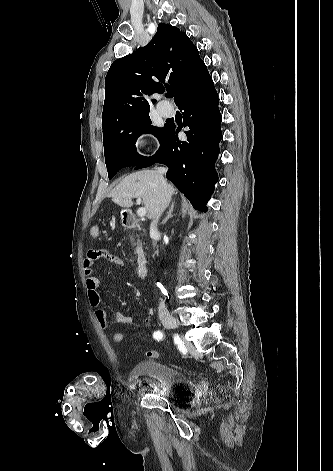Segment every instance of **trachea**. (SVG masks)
I'll return each instance as SVG.
<instances>
[{"instance_id": "obj_1", "label": "trachea", "mask_w": 333, "mask_h": 471, "mask_svg": "<svg viewBox=\"0 0 333 471\" xmlns=\"http://www.w3.org/2000/svg\"><path fill=\"white\" fill-rule=\"evenodd\" d=\"M173 96H174V91L173 90L168 91L167 97L173 98Z\"/></svg>"}]
</instances>
